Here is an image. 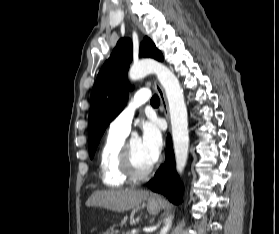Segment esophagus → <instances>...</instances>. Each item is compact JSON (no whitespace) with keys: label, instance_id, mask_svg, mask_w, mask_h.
<instances>
[{"label":"esophagus","instance_id":"1","mask_svg":"<svg viewBox=\"0 0 279 234\" xmlns=\"http://www.w3.org/2000/svg\"><path fill=\"white\" fill-rule=\"evenodd\" d=\"M154 86L155 89L159 95L160 101H161V109L164 112L166 119L169 120V109H168V103H167V99L165 96V92L163 90V88L161 87V85L155 80L154 81ZM153 199H158L159 196L158 195H152Z\"/></svg>","mask_w":279,"mask_h":234}]
</instances>
